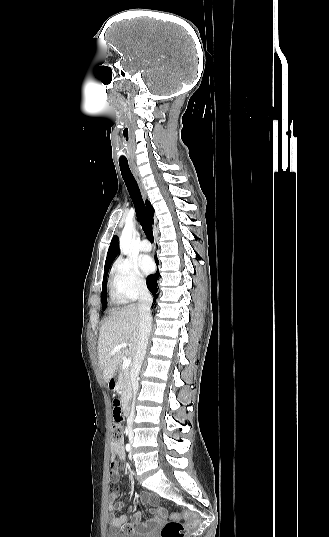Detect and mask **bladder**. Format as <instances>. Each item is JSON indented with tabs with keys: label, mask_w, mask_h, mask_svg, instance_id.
<instances>
[{
	"label": "bladder",
	"mask_w": 329,
	"mask_h": 537,
	"mask_svg": "<svg viewBox=\"0 0 329 537\" xmlns=\"http://www.w3.org/2000/svg\"><path fill=\"white\" fill-rule=\"evenodd\" d=\"M106 537H153L150 533L130 534L116 530H109Z\"/></svg>",
	"instance_id": "obj_1"
}]
</instances>
